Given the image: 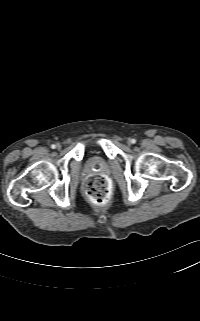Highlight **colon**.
<instances>
[{
	"label": "colon",
	"instance_id": "colon-1",
	"mask_svg": "<svg viewBox=\"0 0 200 321\" xmlns=\"http://www.w3.org/2000/svg\"><path fill=\"white\" fill-rule=\"evenodd\" d=\"M84 192L87 198L96 205H105L109 201V182L104 175H91L84 182Z\"/></svg>",
	"mask_w": 200,
	"mask_h": 321
}]
</instances>
